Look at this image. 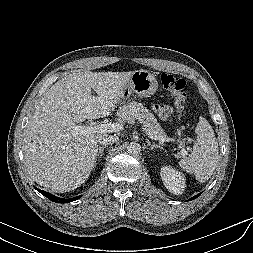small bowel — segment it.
<instances>
[{
    "label": "small bowel",
    "instance_id": "obj_1",
    "mask_svg": "<svg viewBox=\"0 0 253 253\" xmlns=\"http://www.w3.org/2000/svg\"><path fill=\"white\" fill-rule=\"evenodd\" d=\"M156 111L159 114V116L163 119L168 118V116L171 113V109L168 106H157Z\"/></svg>",
    "mask_w": 253,
    "mask_h": 253
}]
</instances>
